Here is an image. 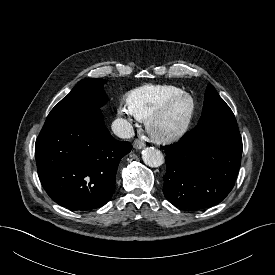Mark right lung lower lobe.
Instances as JSON below:
<instances>
[{
  "label": "right lung lower lobe",
  "mask_w": 275,
  "mask_h": 275,
  "mask_svg": "<svg viewBox=\"0 0 275 275\" xmlns=\"http://www.w3.org/2000/svg\"><path fill=\"white\" fill-rule=\"evenodd\" d=\"M130 150L129 142L110 135L100 111L43 126L35 144L38 176L57 204L79 211L99 208L112 197L119 161Z\"/></svg>",
  "instance_id": "obj_1"
}]
</instances>
